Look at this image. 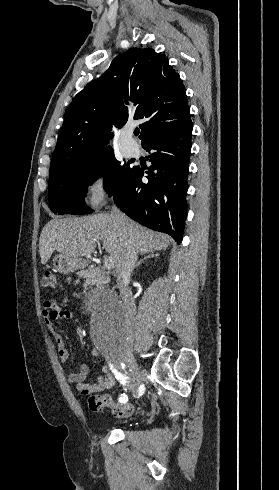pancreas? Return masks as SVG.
Wrapping results in <instances>:
<instances>
[{
  "label": "pancreas",
  "instance_id": "pancreas-1",
  "mask_svg": "<svg viewBox=\"0 0 279 490\" xmlns=\"http://www.w3.org/2000/svg\"><path fill=\"white\" fill-rule=\"evenodd\" d=\"M110 270H105V268H88L84 272L85 282L83 284L84 292L87 294V290H90L88 286H102L105 282L109 280Z\"/></svg>",
  "mask_w": 279,
  "mask_h": 490
}]
</instances>
